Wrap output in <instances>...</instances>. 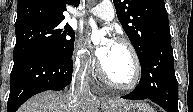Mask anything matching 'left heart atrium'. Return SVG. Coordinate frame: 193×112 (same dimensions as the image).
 Listing matches in <instances>:
<instances>
[{
	"label": "left heart atrium",
	"mask_w": 193,
	"mask_h": 112,
	"mask_svg": "<svg viewBox=\"0 0 193 112\" xmlns=\"http://www.w3.org/2000/svg\"><path fill=\"white\" fill-rule=\"evenodd\" d=\"M111 44H112V41L107 40L102 45L93 48L92 50L93 54L95 55V57L100 63H103V61L106 59Z\"/></svg>",
	"instance_id": "1"
}]
</instances>
